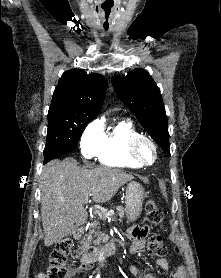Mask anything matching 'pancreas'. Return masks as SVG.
I'll use <instances>...</instances> for the list:
<instances>
[{"label": "pancreas", "mask_w": 221, "mask_h": 278, "mask_svg": "<svg viewBox=\"0 0 221 278\" xmlns=\"http://www.w3.org/2000/svg\"><path fill=\"white\" fill-rule=\"evenodd\" d=\"M115 210H116V213H117V215L119 216V221H122V219L124 218V210H123V208L121 207V206H117V207H115L114 208ZM108 216H106V215H104L102 212H101V216H100V218L101 219H103V220H105L106 218H107ZM101 219H96V221L95 222H91L90 224H89V229H90V233H89V235H87V238L84 240V241H82V244H83V246L81 247V249H82V251H81V255L83 254V253H86L87 252V250L90 248V244H91V241H92V239H93V237H92V235L91 234H95V232H96V230L98 229V227H101Z\"/></svg>", "instance_id": "obj_1"}]
</instances>
